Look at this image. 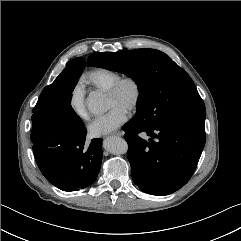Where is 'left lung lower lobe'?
I'll return each instance as SVG.
<instances>
[{"mask_svg": "<svg viewBox=\"0 0 241 241\" xmlns=\"http://www.w3.org/2000/svg\"><path fill=\"white\" fill-rule=\"evenodd\" d=\"M123 130L132 178L151 195H169L183 187L193 175L206 141L205 119L184 116L170 117L155 126L134 116ZM141 132L150 139H142Z\"/></svg>", "mask_w": 241, "mask_h": 241, "instance_id": "1", "label": "left lung lower lobe"}]
</instances>
